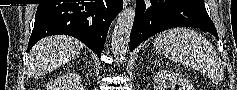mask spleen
<instances>
[{
  "label": "spleen",
  "mask_w": 237,
  "mask_h": 90,
  "mask_svg": "<svg viewBox=\"0 0 237 90\" xmlns=\"http://www.w3.org/2000/svg\"><path fill=\"white\" fill-rule=\"evenodd\" d=\"M158 54L199 72H216L218 56L212 44L190 28H172L158 34L154 42Z\"/></svg>",
  "instance_id": "spleen-1"
}]
</instances>
